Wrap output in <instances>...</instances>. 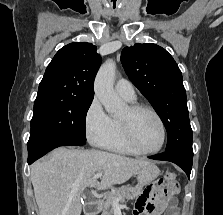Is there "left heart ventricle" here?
<instances>
[{
  "label": "left heart ventricle",
  "instance_id": "1",
  "mask_svg": "<svg viewBox=\"0 0 223 215\" xmlns=\"http://www.w3.org/2000/svg\"><path fill=\"white\" fill-rule=\"evenodd\" d=\"M127 116V109L120 118ZM132 138L141 151L155 149L160 142V129L155 118L148 112H140L131 120Z\"/></svg>",
  "mask_w": 223,
  "mask_h": 215
}]
</instances>
